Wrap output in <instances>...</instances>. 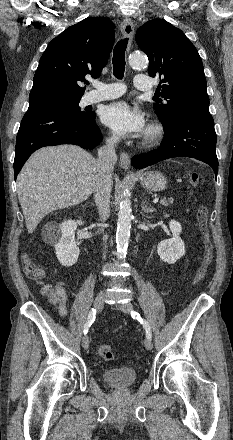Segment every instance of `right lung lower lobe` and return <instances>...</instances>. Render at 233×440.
Listing matches in <instances>:
<instances>
[{
  "label": "right lung lower lobe",
  "mask_w": 233,
  "mask_h": 440,
  "mask_svg": "<svg viewBox=\"0 0 233 440\" xmlns=\"http://www.w3.org/2000/svg\"><path fill=\"white\" fill-rule=\"evenodd\" d=\"M101 141L95 115L86 119L57 108H28L16 139L15 178L29 156L41 147L69 143L93 149Z\"/></svg>",
  "instance_id": "right-lung-lower-lobe-1"
}]
</instances>
